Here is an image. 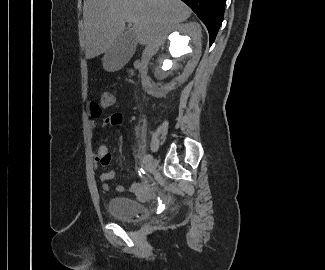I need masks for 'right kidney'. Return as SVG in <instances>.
<instances>
[{"mask_svg":"<svg viewBox=\"0 0 325 270\" xmlns=\"http://www.w3.org/2000/svg\"><path fill=\"white\" fill-rule=\"evenodd\" d=\"M201 47V27L196 22L178 24L163 31L156 48L143 55L141 82L145 91L162 97L183 84L201 57ZM153 55H157V59L149 63Z\"/></svg>","mask_w":325,"mask_h":270,"instance_id":"ca27d5eb","label":"right kidney"}]
</instances>
